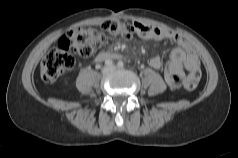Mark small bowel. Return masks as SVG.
<instances>
[{"instance_id": "1", "label": "small bowel", "mask_w": 238, "mask_h": 158, "mask_svg": "<svg viewBox=\"0 0 238 158\" xmlns=\"http://www.w3.org/2000/svg\"><path fill=\"white\" fill-rule=\"evenodd\" d=\"M138 25L142 29L138 34L139 37L153 40H169L177 45L170 53L165 65L164 79L170 87H179L187 72L200 68L199 58L192 46L175 32L140 23ZM148 63L154 69H160L163 65V61L159 56L152 57Z\"/></svg>"}]
</instances>
